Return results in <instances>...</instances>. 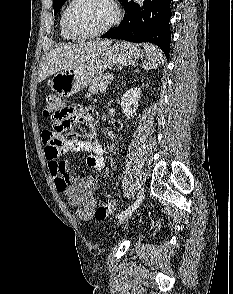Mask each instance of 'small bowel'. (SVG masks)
I'll use <instances>...</instances> for the list:
<instances>
[{"instance_id": "1", "label": "small bowel", "mask_w": 233, "mask_h": 294, "mask_svg": "<svg viewBox=\"0 0 233 294\" xmlns=\"http://www.w3.org/2000/svg\"><path fill=\"white\" fill-rule=\"evenodd\" d=\"M64 104L61 110H53L51 117H48L49 128L42 133V140L45 146V155L48 160L50 174L58 192L66 196L67 202L74 207L76 215L89 221L94 215L96 208V192L98 181L92 176L73 177L69 174V163L60 160V154L88 153L86 163L97 171H104L106 177L111 176L104 156L103 148L96 140V133L93 128V108L89 103ZM77 122H85L90 126L87 132V140H80L75 136L72 126Z\"/></svg>"}]
</instances>
